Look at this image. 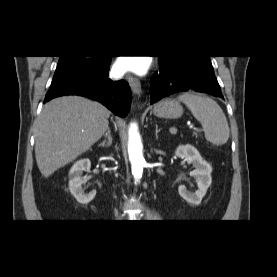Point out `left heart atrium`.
Here are the masks:
<instances>
[{
    "instance_id": "left-heart-atrium-1",
    "label": "left heart atrium",
    "mask_w": 277,
    "mask_h": 277,
    "mask_svg": "<svg viewBox=\"0 0 277 277\" xmlns=\"http://www.w3.org/2000/svg\"><path fill=\"white\" fill-rule=\"evenodd\" d=\"M147 66V62L141 58L122 59L118 62V68L122 72L134 71L136 73H144Z\"/></svg>"
}]
</instances>
